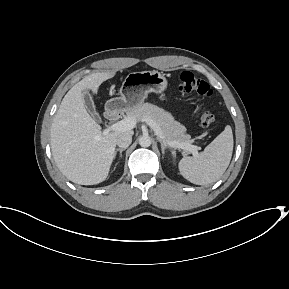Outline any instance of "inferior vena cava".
Instances as JSON below:
<instances>
[{
  "label": "inferior vena cava",
  "mask_w": 289,
  "mask_h": 289,
  "mask_svg": "<svg viewBox=\"0 0 289 289\" xmlns=\"http://www.w3.org/2000/svg\"><path fill=\"white\" fill-rule=\"evenodd\" d=\"M132 141V135L130 133H122L118 136L117 140H116V144L120 147V148H127Z\"/></svg>",
  "instance_id": "602c4592"
}]
</instances>
